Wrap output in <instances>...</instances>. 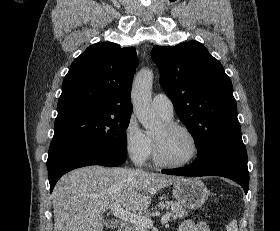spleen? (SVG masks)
<instances>
[{"label":"spleen","instance_id":"1","mask_svg":"<svg viewBox=\"0 0 280 231\" xmlns=\"http://www.w3.org/2000/svg\"><path fill=\"white\" fill-rule=\"evenodd\" d=\"M227 231H238L236 219H233V221L227 225Z\"/></svg>","mask_w":280,"mask_h":231}]
</instances>
